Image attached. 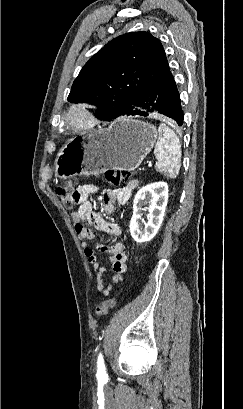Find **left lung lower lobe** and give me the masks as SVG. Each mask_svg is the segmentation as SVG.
I'll use <instances>...</instances> for the list:
<instances>
[{
	"mask_svg": "<svg viewBox=\"0 0 243 409\" xmlns=\"http://www.w3.org/2000/svg\"><path fill=\"white\" fill-rule=\"evenodd\" d=\"M153 112L163 114L181 126L183 111L181 109L179 92L171 72L143 92L131 106L126 107L114 116L102 118L112 121L121 115L149 116Z\"/></svg>",
	"mask_w": 243,
	"mask_h": 409,
	"instance_id": "0a47b994",
	"label": "left lung lower lobe"
}]
</instances>
